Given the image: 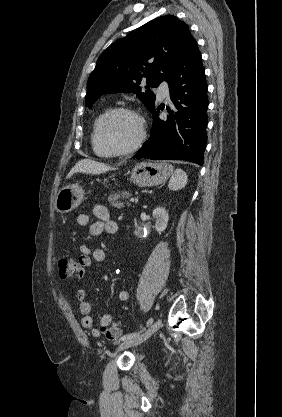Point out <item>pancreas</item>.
I'll return each mask as SVG.
<instances>
[{"label": "pancreas", "mask_w": 282, "mask_h": 417, "mask_svg": "<svg viewBox=\"0 0 282 417\" xmlns=\"http://www.w3.org/2000/svg\"><path fill=\"white\" fill-rule=\"evenodd\" d=\"M130 196H132V194L131 192H128V190H118V192L112 190V194L108 196V200L111 206H117V209H121V206H125V202L127 206H130V202L127 200ZM123 200H125V202H123Z\"/></svg>", "instance_id": "cf45deb5"}]
</instances>
